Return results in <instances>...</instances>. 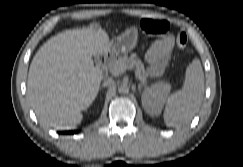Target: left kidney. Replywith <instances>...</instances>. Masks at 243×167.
Listing matches in <instances>:
<instances>
[{"instance_id":"obj_1","label":"left kidney","mask_w":243,"mask_h":167,"mask_svg":"<svg viewBox=\"0 0 243 167\" xmlns=\"http://www.w3.org/2000/svg\"><path fill=\"white\" fill-rule=\"evenodd\" d=\"M170 92V85L167 83L154 84L144 90L141 96L142 105L146 112L158 115Z\"/></svg>"}]
</instances>
